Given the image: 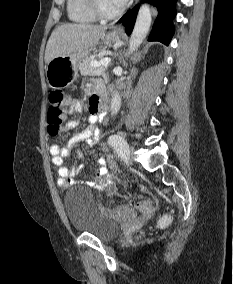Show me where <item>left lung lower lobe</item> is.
Masks as SVG:
<instances>
[{"label":"left lung lower lobe","mask_w":233,"mask_h":284,"mask_svg":"<svg viewBox=\"0 0 233 284\" xmlns=\"http://www.w3.org/2000/svg\"><path fill=\"white\" fill-rule=\"evenodd\" d=\"M155 5L158 9V16L153 25L149 41H160L165 45H169L174 34L172 24L173 18L176 16V0H143ZM138 6L126 13L120 21L126 29L127 35H130L136 20Z\"/></svg>","instance_id":"obj_1"}]
</instances>
